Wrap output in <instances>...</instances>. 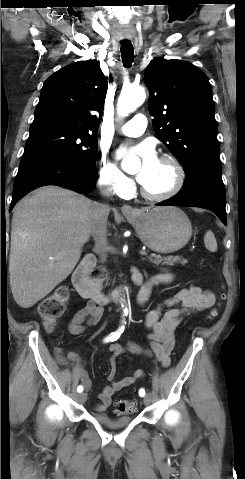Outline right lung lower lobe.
<instances>
[{
	"mask_svg": "<svg viewBox=\"0 0 245 479\" xmlns=\"http://www.w3.org/2000/svg\"><path fill=\"white\" fill-rule=\"evenodd\" d=\"M97 172L86 166L60 159H45L20 165L15 178L11 211L14 205L32 190L57 185L78 193L95 188Z\"/></svg>",
	"mask_w": 245,
	"mask_h": 479,
	"instance_id": "obj_1",
	"label": "right lung lower lobe"
}]
</instances>
